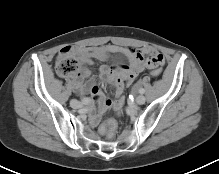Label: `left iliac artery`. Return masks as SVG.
I'll list each match as a JSON object with an SVG mask.
<instances>
[{"instance_id":"left-iliac-artery-1","label":"left iliac artery","mask_w":219,"mask_h":174,"mask_svg":"<svg viewBox=\"0 0 219 174\" xmlns=\"http://www.w3.org/2000/svg\"><path fill=\"white\" fill-rule=\"evenodd\" d=\"M144 92H145V90H144L143 88H140V89H139V93H140V94H143Z\"/></svg>"}]
</instances>
